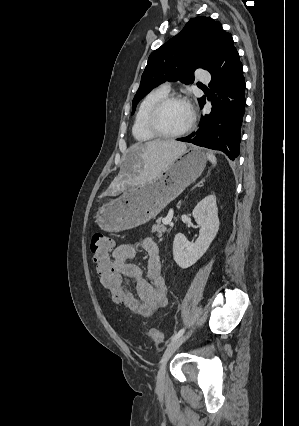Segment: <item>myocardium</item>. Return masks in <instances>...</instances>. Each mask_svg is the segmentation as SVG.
<instances>
[{
  "mask_svg": "<svg viewBox=\"0 0 299 426\" xmlns=\"http://www.w3.org/2000/svg\"><path fill=\"white\" fill-rule=\"evenodd\" d=\"M172 102H183L187 104L191 110V119L189 124L184 129L178 132H173V133L165 131L160 124V116L162 111L167 105H169ZM193 126H194V115H193L190 103L185 97L181 95H167L163 97L153 106L148 116L149 129L151 130L153 134L161 138L171 139V138H178V137L184 136L192 130Z\"/></svg>",
  "mask_w": 299,
  "mask_h": 426,
  "instance_id": "1",
  "label": "myocardium"
}]
</instances>
